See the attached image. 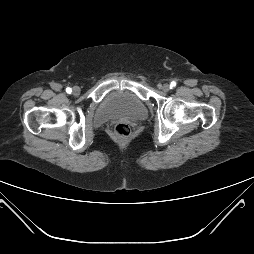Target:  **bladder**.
I'll list each match as a JSON object with an SVG mask.
<instances>
[{
  "label": "bladder",
  "mask_w": 254,
  "mask_h": 254,
  "mask_svg": "<svg viewBox=\"0 0 254 254\" xmlns=\"http://www.w3.org/2000/svg\"><path fill=\"white\" fill-rule=\"evenodd\" d=\"M147 116L144 102L130 90H115L101 101L97 119L107 122L115 119L143 120Z\"/></svg>",
  "instance_id": "obj_1"
}]
</instances>
